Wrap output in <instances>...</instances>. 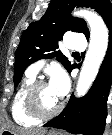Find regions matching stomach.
<instances>
[{"instance_id": "1", "label": "stomach", "mask_w": 112, "mask_h": 135, "mask_svg": "<svg viewBox=\"0 0 112 135\" xmlns=\"http://www.w3.org/2000/svg\"><path fill=\"white\" fill-rule=\"evenodd\" d=\"M10 134H13V133L9 130H5V131L0 133V135H10ZM47 135H62V134L60 132L51 131Z\"/></svg>"}]
</instances>
